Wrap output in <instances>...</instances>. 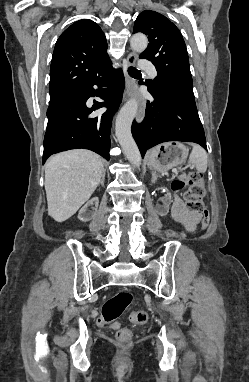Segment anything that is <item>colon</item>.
Returning a JSON list of instances; mask_svg holds the SVG:
<instances>
[{
	"label": "colon",
	"instance_id": "1",
	"mask_svg": "<svg viewBox=\"0 0 249 382\" xmlns=\"http://www.w3.org/2000/svg\"><path fill=\"white\" fill-rule=\"evenodd\" d=\"M186 184L188 189L184 192V200L186 208L189 212L197 213L202 216L201 224L206 227L209 222V211L203 203L205 188L202 177L198 172H192L187 182L183 180H175L172 183V189L175 191L182 190ZM132 295L128 291H120L114 296L106 300L102 306L101 317L98 320L99 325H111L113 329H118L116 338L122 343H130L132 332L127 328H120L117 319L123 314L125 309L130 305ZM133 322L144 324L148 321V314L145 311H136L131 315Z\"/></svg>",
	"mask_w": 249,
	"mask_h": 382
}]
</instances>
